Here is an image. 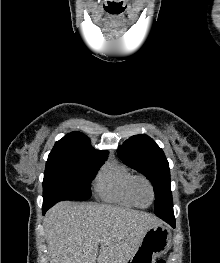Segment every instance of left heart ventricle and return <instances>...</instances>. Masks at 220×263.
<instances>
[{"mask_svg": "<svg viewBox=\"0 0 220 263\" xmlns=\"http://www.w3.org/2000/svg\"><path fill=\"white\" fill-rule=\"evenodd\" d=\"M137 200L141 205H147L151 200L149 188L143 182L138 183L136 187Z\"/></svg>", "mask_w": 220, "mask_h": 263, "instance_id": "obj_1", "label": "left heart ventricle"}]
</instances>
